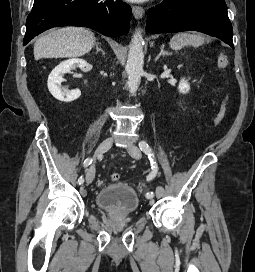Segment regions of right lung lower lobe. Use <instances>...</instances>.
<instances>
[{"label":"right lung lower lobe","mask_w":255,"mask_h":272,"mask_svg":"<svg viewBox=\"0 0 255 272\" xmlns=\"http://www.w3.org/2000/svg\"><path fill=\"white\" fill-rule=\"evenodd\" d=\"M131 8L120 0H35L23 45L52 27L83 26L117 37L129 31Z\"/></svg>","instance_id":"right-lung-lower-lobe-1"}]
</instances>
